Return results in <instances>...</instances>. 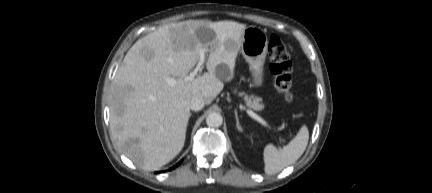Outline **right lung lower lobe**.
<instances>
[{"label":"right lung lower lobe","mask_w":432,"mask_h":193,"mask_svg":"<svg viewBox=\"0 0 432 193\" xmlns=\"http://www.w3.org/2000/svg\"><path fill=\"white\" fill-rule=\"evenodd\" d=\"M180 163H181V161H180L178 164H176V165L174 166V168L177 167Z\"/></svg>","instance_id":"right-lung-lower-lobe-1"}]
</instances>
